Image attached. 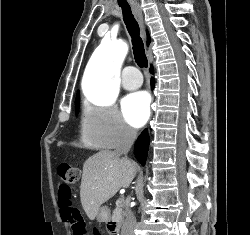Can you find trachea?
Segmentation results:
<instances>
[{
  "label": "trachea",
  "mask_w": 250,
  "mask_h": 235,
  "mask_svg": "<svg viewBox=\"0 0 250 235\" xmlns=\"http://www.w3.org/2000/svg\"><path fill=\"white\" fill-rule=\"evenodd\" d=\"M123 12V20L132 39L134 59L141 68H147L148 60L145 54L144 44L140 37L138 22L134 18L130 6L120 5Z\"/></svg>",
  "instance_id": "trachea-1"
}]
</instances>
